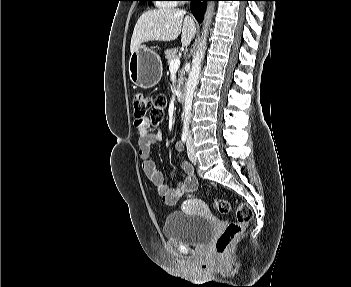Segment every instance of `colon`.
<instances>
[{"instance_id": "1", "label": "colon", "mask_w": 351, "mask_h": 287, "mask_svg": "<svg viewBox=\"0 0 351 287\" xmlns=\"http://www.w3.org/2000/svg\"><path fill=\"white\" fill-rule=\"evenodd\" d=\"M136 120H149L156 125L163 119V110L166 98L163 94L151 95L143 92H135L132 97ZM216 209L222 214H228L231 210L230 203L223 199L215 200ZM253 211L247 204L240 203L236 208L235 220L230 221L215 242L216 251L224 253L232 242L244 231L246 225L252 220Z\"/></svg>"}]
</instances>
